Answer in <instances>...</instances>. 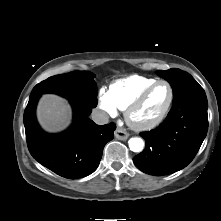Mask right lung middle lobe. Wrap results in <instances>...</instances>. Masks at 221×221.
Instances as JSON below:
<instances>
[{
  "mask_svg": "<svg viewBox=\"0 0 221 221\" xmlns=\"http://www.w3.org/2000/svg\"><path fill=\"white\" fill-rule=\"evenodd\" d=\"M95 75L89 71H72L49 77L37 84L30 98L43 93H55L65 97L70 102H77L90 107L97 105V85Z\"/></svg>",
  "mask_w": 221,
  "mask_h": 221,
  "instance_id": "obj_1",
  "label": "right lung middle lobe"
}]
</instances>
